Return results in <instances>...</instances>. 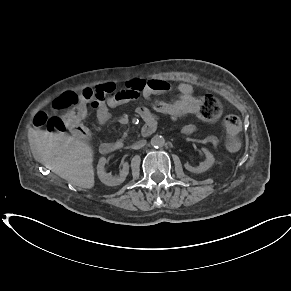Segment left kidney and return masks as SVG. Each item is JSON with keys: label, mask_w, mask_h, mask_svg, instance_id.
<instances>
[{"label": "left kidney", "mask_w": 291, "mask_h": 291, "mask_svg": "<svg viewBox=\"0 0 291 291\" xmlns=\"http://www.w3.org/2000/svg\"><path fill=\"white\" fill-rule=\"evenodd\" d=\"M202 151L204 152V154L206 156V160L204 162H201L198 167H192L191 165L186 163L185 168L188 171L193 172V173H203V172L207 171L210 167H212V165L215 162L214 156L206 148H203Z\"/></svg>", "instance_id": "left-kidney-1"}]
</instances>
